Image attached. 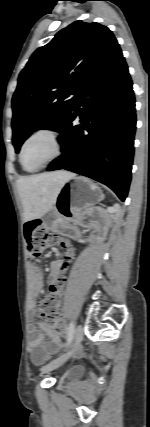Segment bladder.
Returning <instances> with one entry per match:
<instances>
[{
  "label": "bladder",
  "mask_w": 150,
  "mask_h": 427,
  "mask_svg": "<svg viewBox=\"0 0 150 427\" xmlns=\"http://www.w3.org/2000/svg\"><path fill=\"white\" fill-rule=\"evenodd\" d=\"M80 370L76 367L70 368L61 374L63 378H73L79 374Z\"/></svg>",
  "instance_id": "31cf9c89"
}]
</instances>
